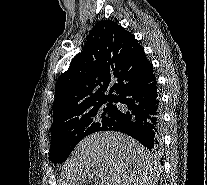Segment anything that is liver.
I'll list each match as a JSON object with an SVG mask.
<instances>
[{"instance_id":"1","label":"liver","mask_w":207,"mask_h":185,"mask_svg":"<svg viewBox=\"0 0 207 185\" xmlns=\"http://www.w3.org/2000/svg\"><path fill=\"white\" fill-rule=\"evenodd\" d=\"M151 153L141 143L119 133L99 131L78 143L63 169L61 185H153Z\"/></svg>"}]
</instances>
